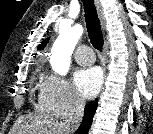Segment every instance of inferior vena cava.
<instances>
[{"instance_id":"1","label":"inferior vena cava","mask_w":153,"mask_h":134,"mask_svg":"<svg viewBox=\"0 0 153 134\" xmlns=\"http://www.w3.org/2000/svg\"><path fill=\"white\" fill-rule=\"evenodd\" d=\"M84 106V100L79 97L74 98L69 114L62 124L64 134H74L78 129L83 117Z\"/></svg>"}]
</instances>
